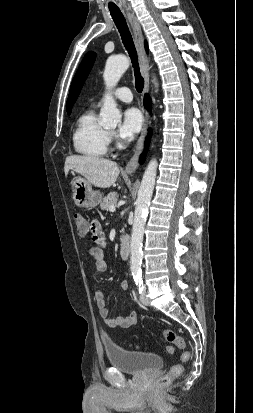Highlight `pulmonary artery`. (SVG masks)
<instances>
[{
  "label": "pulmonary artery",
  "instance_id": "obj_1",
  "mask_svg": "<svg viewBox=\"0 0 253 413\" xmlns=\"http://www.w3.org/2000/svg\"><path fill=\"white\" fill-rule=\"evenodd\" d=\"M113 96L116 99H118L120 101H123V102H127V103L131 102L132 99H133L132 92L127 87H120V88L116 89L113 92ZM100 103H101V101L99 102V104Z\"/></svg>",
  "mask_w": 253,
  "mask_h": 413
}]
</instances>
